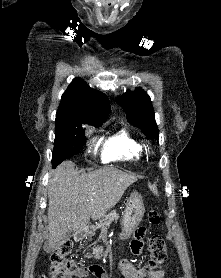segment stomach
<instances>
[{
  "label": "stomach",
  "mask_w": 221,
  "mask_h": 278,
  "mask_svg": "<svg viewBox=\"0 0 221 278\" xmlns=\"http://www.w3.org/2000/svg\"><path fill=\"white\" fill-rule=\"evenodd\" d=\"M145 212L141 195L136 191L132 192L127 199L122 219V238H128L140 224Z\"/></svg>",
  "instance_id": "1"
}]
</instances>
